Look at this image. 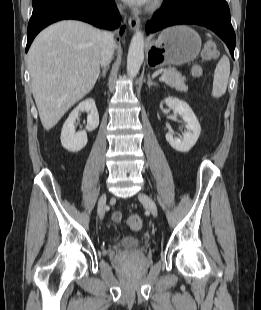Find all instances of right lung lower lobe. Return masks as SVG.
<instances>
[{"instance_id": "obj_1", "label": "right lung lower lobe", "mask_w": 261, "mask_h": 310, "mask_svg": "<svg viewBox=\"0 0 261 310\" xmlns=\"http://www.w3.org/2000/svg\"><path fill=\"white\" fill-rule=\"evenodd\" d=\"M32 4L26 52L43 28L59 20L77 19L105 29H115L120 25L114 0H33ZM124 29L121 27V31Z\"/></svg>"}]
</instances>
